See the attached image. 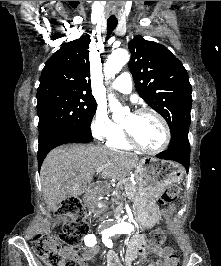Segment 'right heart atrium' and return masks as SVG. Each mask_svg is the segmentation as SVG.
Instances as JSON below:
<instances>
[{"mask_svg": "<svg viewBox=\"0 0 221 266\" xmlns=\"http://www.w3.org/2000/svg\"><path fill=\"white\" fill-rule=\"evenodd\" d=\"M90 129L95 139L107 141L115 136L121 128L110 119L103 107L97 106L91 120Z\"/></svg>", "mask_w": 221, "mask_h": 266, "instance_id": "1", "label": "right heart atrium"}]
</instances>
